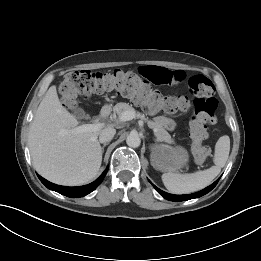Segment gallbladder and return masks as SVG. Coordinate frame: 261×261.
Returning a JSON list of instances; mask_svg holds the SVG:
<instances>
[{
	"label": "gallbladder",
	"mask_w": 261,
	"mask_h": 261,
	"mask_svg": "<svg viewBox=\"0 0 261 261\" xmlns=\"http://www.w3.org/2000/svg\"><path fill=\"white\" fill-rule=\"evenodd\" d=\"M74 114L78 117V118H82L85 116L84 111L81 108H74Z\"/></svg>",
	"instance_id": "obj_1"
}]
</instances>
